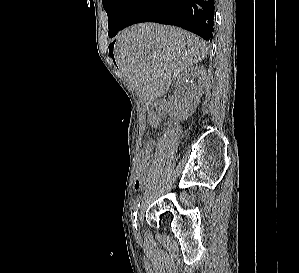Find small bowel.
Masks as SVG:
<instances>
[{
	"label": "small bowel",
	"mask_w": 299,
	"mask_h": 273,
	"mask_svg": "<svg viewBox=\"0 0 299 273\" xmlns=\"http://www.w3.org/2000/svg\"><path fill=\"white\" fill-rule=\"evenodd\" d=\"M149 123L151 126L155 127L158 122H159V115L154 112L151 111L149 113ZM152 156H151V151L149 152H145L144 150L141 153V165L143 166V168L145 169L146 166L151 162ZM146 183V173H144L141 178L139 180H137L135 178L134 180V189L135 190H140Z\"/></svg>",
	"instance_id": "c3829d8e"
}]
</instances>
